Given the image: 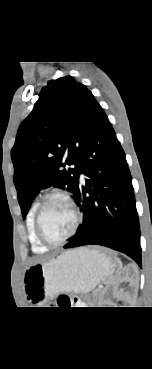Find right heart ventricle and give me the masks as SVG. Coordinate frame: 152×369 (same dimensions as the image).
Listing matches in <instances>:
<instances>
[{
  "instance_id": "1",
  "label": "right heart ventricle",
  "mask_w": 152,
  "mask_h": 369,
  "mask_svg": "<svg viewBox=\"0 0 152 369\" xmlns=\"http://www.w3.org/2000/svg\"><path fill=\"white\" fill-rule=\"evenodd\" d=\"M38 203H34L27 216V231H28V238L32 247V250L36 253H43L47 251V247L43 245L37 238L36 232H35V214L38 208Z\"/></svg>"
}]
</instances>
